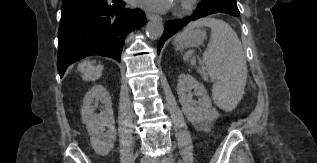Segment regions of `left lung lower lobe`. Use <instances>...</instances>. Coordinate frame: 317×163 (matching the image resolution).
I'll use <instances>...</instances> for the list:
<instances>
[{"label":"left lung lower lobe","instance_id":"obj_1","mask_svg":"<svg viewBox=\"0 0 317 163\" xmlns=\"http://www.w3.org/2000/svg\"><path fill=\"white\" fill-rule=\"evenodd\" d=\"M215 13H224V14H228L234 17H237L239 14H235L232 12H228V11H223V10H219V9H209V8H204L201 4L198 5V9L196 11L195 14H193L190 17H186L182 20H175V21H168L165 25V30L163 32V35L159 41L158 44V53L160 52L164 42L170 38L171 36H173L176 32H178L180 29H182L186 24H188L191 21L197 20L201 17H205L207 15L210 14H215Z\"/></svg>","mask_w":317,"mask_h":163}]
</instances>
